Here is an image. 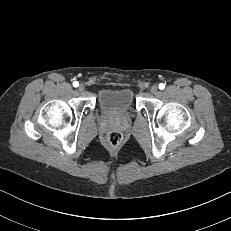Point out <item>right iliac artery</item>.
I'll use <instances>...</instances> for the list:
<instances>
[{"label":"right iliac artery","mask_w":231,"mask_h":231,"mask_svg":"<svg viewBox=\"0 0 231 231\" xmlns=\"http://www.w3.org/2000/svg\"><path fill=\"white\" fill-rule=\"evenodd\" d=\"M73 86L74 87H78L79 86V83L77 81L73 82Z\"/></svg>","instance_id":"right-iliac-artery-1"}]
</instances>
